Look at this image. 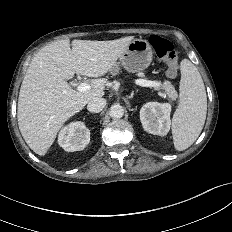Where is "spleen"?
I'll return each instance as SVG.
<instances>
[{
	"label": "spleen",
	"mask_w": 232,
	"mask_h": 232,
	"mask_svg": "<svg viewBox=\"0 0 232 232\" xmlns=\"http://www.w3.org/2000/svg\"><path fill=\"white\" fill-rule=\"evenodd\" d=\"M180 102L172 118L174 147L183 151L200 135L207 113V96L200 73L194 64L183 59L180 63Z\"/></svg>",
	"instance_id": "3e777b00"
}]
</instances>
